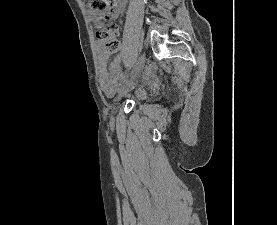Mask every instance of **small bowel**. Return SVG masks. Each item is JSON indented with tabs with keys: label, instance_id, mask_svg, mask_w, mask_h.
Masks as SVG:
<instances>
[{
	"label": "small bowel",
	"instance_id": "small-bowel-1",
	"mask_svg": "<svg viewBox=\"0 0 277 225\" xmlns=\"http://www.w3.org/2000/svg\"><path fill=\"white\" fill-rule=\"evenodd\" d=\"M124 3L125 2L122 0L111 8V14L114 18H116L122 11L124 8ZM124 57V52H121L113 59L111 64L108 65V54L101 50L98 53L99 82L102 90L106 94H111L114 90L119 89L121 83L127 80V76L125 73H123L121 68V62ZM151 73V71L146 73L147 79H150Z\"/></svg>",
	"mask_w": 277,
	"mask_h": 225
}]
</instances>
